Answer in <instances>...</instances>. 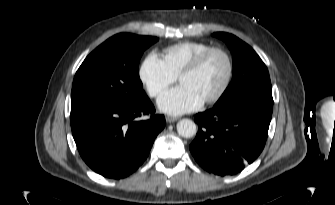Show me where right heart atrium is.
Here are the masks:
<instances>
[{"mask_svg":"<svg viewBox=\"0 0 335 205\" xmlns=\"http://www.w3.org/2000/svg\"><path fill=\"white\" fill-rule=\"evenodd\" d=\"M139 80L152 98L160 96L177 79L156 53L148 54L138 70Z\"/></svg>","mask_w":335,"mask_h":205,"instance_id":"1","label":"right heart atrium"}]
</instances>
